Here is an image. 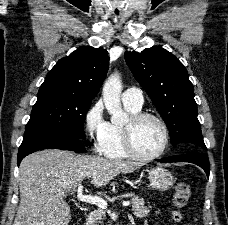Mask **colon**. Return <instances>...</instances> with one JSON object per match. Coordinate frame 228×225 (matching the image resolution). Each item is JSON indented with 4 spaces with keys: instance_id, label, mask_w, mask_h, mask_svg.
<instances>
[{
    "instance_id": "obj_1",
    "label": "colon",
    "mask_w": 228,
    "mask_h": 225,
    "mask_svg": "<svg viewBox=\"0 0 228 225\" xmlns=\"http://www.w3.org/2000/svg\"><path fill=\"white\" fill-rule=\"evenodd\" d=\"M191 193V187L188 183L181 181L174 186V208L172 211V220L176 224L183 221V210Z\"/></svg>"
}]
</instances>
